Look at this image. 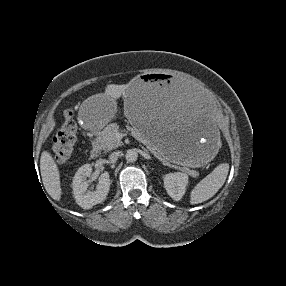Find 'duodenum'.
Returning <instances> with one entry per match:
<instances>
[{"label": "duodenum", "instance_id": "410a0bca", "mask_svg": "<svg viewBox=\"0 0 286 286\" xmlns=\"http://www.w3.org/2000/svg\"><path fill=\"white\" fill-rule=\"evenodd\" d=\"M99 155V150L97 147H94L91 151H90V157L93 159H96Z\"/></svg>", "mask_w": 286, "mask_h": 286}]
</instances>
